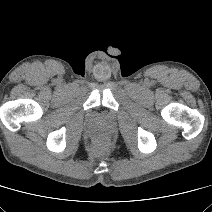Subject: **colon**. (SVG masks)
Segmentation results:
<instances>
[{"label": "colon", "mask_w": 212, "mask_h": 212, "mask_svg": "<svg viewBox=\"0 0 212 212\" xmlns=\"http://www.w3.org/2000/svg\"><path fill=\"white\" fill-rule=\"evenodd\" d=\"M106 142V138L103 135H98L95 140V147L97 149L102 148Z\"/></svg>", "instance_id": "obj_1"}]
</instances>
